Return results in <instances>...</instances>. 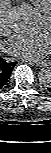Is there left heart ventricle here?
I'll return each mask as SVG.
<instances>
[{"label": "left heart ventricle", "mask_w": 51, "mask_h": 153, "mask_svg": "<svg viewBox=\"0 0 51 153\" xmlns=\"http://www.w3.org/2000/svg\"><path fill=\"white\" fill-rule=\"evenodd\" d=\"M41 29H51V25L44 18L41 21Z\"/></svg>", "instance_id": "left-heart-ventricle-1"}]
</instances>
